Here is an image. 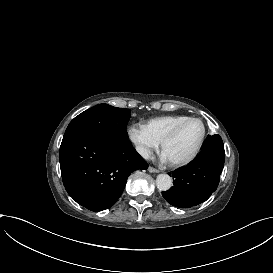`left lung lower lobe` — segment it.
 I'll use <instances>...</instances> for the list:
<instances>
[{
	"mask_svg": "<svg viewBox=\"0 0 273 273\" xmlns=\"http://www.w3.org/2000/svg\"><path fill=\"white\" fill-rule=\"evenodd\" d=\"M222 138L208 135L199 155L187 166L169 173L173 187L162 192L164 199L179 208H190L206 201L217 189L224 167Z\"/></svg>",
	"mask_w": 273,
	"mask_h": 273,
	"instance_id": "1",
	"label": "left lung lower lobe"
}]
</instances>
